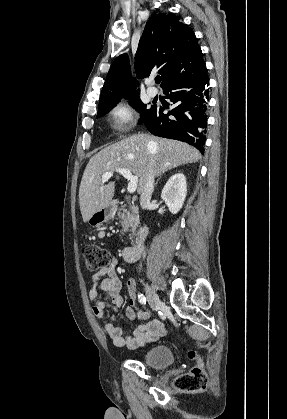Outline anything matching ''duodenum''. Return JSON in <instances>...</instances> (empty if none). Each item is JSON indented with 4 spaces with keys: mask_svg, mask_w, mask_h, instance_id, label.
<instances>
[{
    "mask_svg": "<svg viewBox=\"0 0 287 419\" xmlns=\"http://www.w3.org/2000/svg\"><path fill=\"white\" fill-rule=\"evenodd\" d=\"M147 233L148 227L145 226L140 232L137 243L135 245L126 246L123 249L122 256L126 262H134L138 259L141 252L143 238L146 236Z\"/></svg>",
    "mask_w": 287,
    "mask_h": 419,
    "instance_id": "duodenum-1",
    "label": "duodenum"
}]
</instances>
